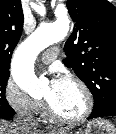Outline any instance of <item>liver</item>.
<instances>
[{
  "label": "liver",
  "instance_id": "obj_1",
  "mask_svg": "<svg viewBox=\"0 0 116 134\" xmlns=\"http://www.w3.org/2000/svg\"><path fill=\"white\" fill-rule=\"evenodd\" d=\"M0 134H20V133L15 125L0 121Z\"/></svg>",
  "mask_w": 116,
  "mask_h": 134
}]
</instances>
